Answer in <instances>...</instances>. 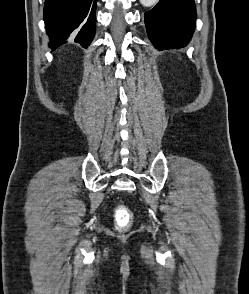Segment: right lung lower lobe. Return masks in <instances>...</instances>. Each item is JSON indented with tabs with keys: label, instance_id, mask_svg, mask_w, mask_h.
<instances>
[{
	"label": "right lung lower lobe",
	"instance_id": "98d812e1",
	"mask_svg": "<svg viewBox=\"0 0 249 294\" xmlns=\"http://www.w3.org/2000/svg\"><path fill=\"white\" fill-rule=\"evenodd\" d=\"M97 0H46L44 21L49 47L76 42L87 48L95 34Z\"/></svg>",
	"mask_w": 249,
	"mask_h": 294
}]
</instances>
